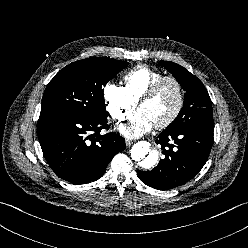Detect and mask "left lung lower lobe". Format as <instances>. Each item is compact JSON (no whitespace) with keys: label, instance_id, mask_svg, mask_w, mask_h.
<instances>
[{"label":"left lung lower lobe","instance_id":"0a47b994","mask_svg":"<svg viewBox=\"0 0 248 248\" xmlns=\"http://www.w3.org/2000/svg\"><path fill=\"white\" fill-rule=\"evenodd\" d=\"M213 128L165 129L156 140L164 159L151 171H138L140 180L155 189L168 190L195 177L207 161Z\"/></svg>","mask_w":248,"mask_h":248}]
</instances>
